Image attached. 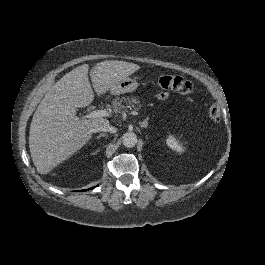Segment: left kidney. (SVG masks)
<instances>
[{"instance_id":"5707ae66","label":"left kidney","mask_w":265,"mask_h":265,"mask_svg":"<svg viewBox=\"0 0 265 265\" xmlns=\"http://www.w3.org/2000/svg\"><path fill=\"white\" fill-rule=\"evenodd\" d=\"M166 143L168 147H170L172 150L176 152H184L185 147L183 146L182 143H180L178 140L173 135H169L168 138L166 139Z\"/></svg>"}]
</instances>
